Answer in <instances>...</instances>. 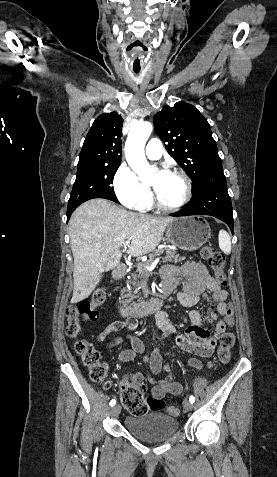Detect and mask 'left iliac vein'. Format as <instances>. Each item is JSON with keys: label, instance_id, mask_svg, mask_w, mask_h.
Returning a JSON list of instances; mask_svg holds the SVG:
<instances>
[{"label": "left iliac vein", "instance_id": "left-iliac-vein-1", "mask_svg": "<svg viewBox=\"0 0 277 477\" xmlns=\"http://www.w3.org/2000/svg\"><path fill=\"white\" fill-rule=\"evenodd\" d=\"M183 407H184V409H185L186 411H191L192 408H193V405H192V403H191L190 401L184 400V402H183Z\"/></svg>", "mask_w": 277, "mask_h": 477}]
</instances>
